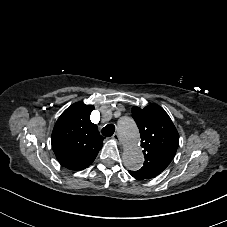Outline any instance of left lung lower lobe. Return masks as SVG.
Instances as JSON below:
<instances>
[{"instance_id":"left-lung-lower-lobe-1","label":"left lung lower lobe","mask_w":227,"mask_h":227,"mask_svg":"<svg viewBox=\"0 0 227 227\" xmlns=\"http://www.w3.org/2000/svg\"><path fill=\"white\" fill-rule=\"evenodd\" d=\"M129 173L136 179L140 180L139 178H137L131 171H129Z\"/></svg>"}]
</instances>
